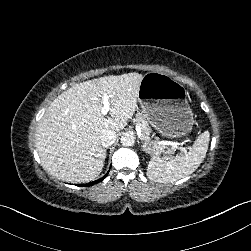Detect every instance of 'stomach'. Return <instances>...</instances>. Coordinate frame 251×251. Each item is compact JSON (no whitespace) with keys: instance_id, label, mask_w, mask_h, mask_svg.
<instances>
[{"instance_id":"stomach-1","label":"stomach","mask_w":251,"mask_h":251,"mask_svg":"<svg viewBox=\"0 0 251 251\" xmlns=\"http://www.w3.org/2000/svg\"><path fill=\"white\" fill-rule=\"evenodd\" d=\"M137 100L143 116L162 135L180 137L195 124L186 89L170 75L148 72L140 83Z\"/></svg>"}]
</instances>
